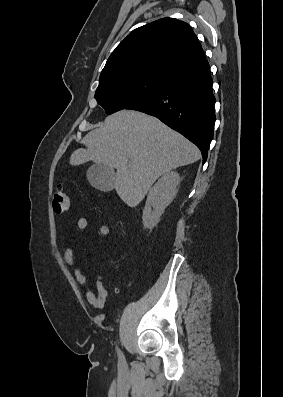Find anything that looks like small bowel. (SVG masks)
Instances as JSON below:
<instances>
[{"instance_id": "1", "label": "small bowel", "mask_w": 283, "mask_h": 397, "mask_svg": "<svg viewBox=\"0 0 283 397\" xmlns=\"http://www.w3.org/2000/svg\"><path fill=\"white\" fill-rule=\"evenodd\" d=\"M88 227V220L85 217H79L77 220V229L83 232ZM98 233L102 238H105L110 233V228L106 224L98 225ZM64 262L68 266H72L74 263V248L70 241L64 252ZM73 275L76 282L84 289L85 296L90 305L96 309H102L105 305L107 291L103 286L102 277L98 276L95 282V288H90L86 276L80 268L73 270Z\"/></svg>"}]
</instances>
